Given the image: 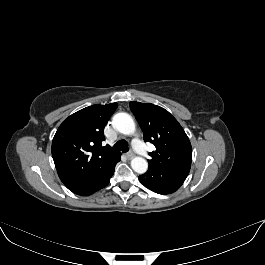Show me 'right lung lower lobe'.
<instances>
[{
  "label": "right lung lower lobe",
  "mask_w": 265,
  "mask_h": 265,
  "mask_svg": "<svg viewBox=\"0 0 265 265\" xmlns=\"http://www.w3.org/2000/svg\"><path fill=\"white\" fill-rule=\"evenodd\" d=\"M121 155L111 160L105 167L100 169L96 174L83 182L70 188V190L81 196H88L99 189L104 188L108 185L110 178L114 173L116 164L120 161Z\"/></svg>",
  "instance_id": "right-lung-lower-lobe-1"
}]
</instances>
